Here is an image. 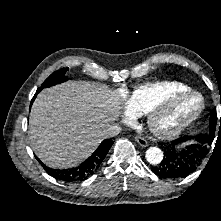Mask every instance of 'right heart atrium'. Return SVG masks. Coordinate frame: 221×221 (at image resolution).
Here are the masks:
<instances>
[{
    "label": "right heart atrium",
    "mask_w": 221,
    "mask_h": 221,
    "mask_svg": "<svg viewBox=\"0 0 221 221\" xmlns=\"http://www.w3.org/2000/svg\"><path fill=\"white\" fill-rule=\"evenodd\" d=\"M136 120V115L131 113L127 108L121 118V123L126 124V125H131L135 122Z\"/></svg>",
    "instance_id": "d8ad5b80"
}]
</instances>
